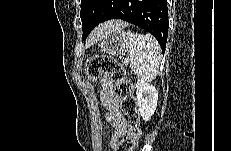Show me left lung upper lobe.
I'll use <instances>...</instances> for the list:
<instances>
[{
  "instance_id": "obj_1",
  "label": "left lung upper lobe",
  "mask_w": 231,
  "mask_h": 151,
  "mask_svg": "<svg viewBox=\"0 0 231 151\" xmlns=\"http://www.w3.org/2000/svg\"><path fill=\"white\" fill-rule=\"evenodd\" d=\"M115 2L116 0H81L82 38L89 35L91 30L108 14Z\"/></svg>"
}]
</instances>
